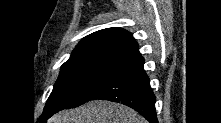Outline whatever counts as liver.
Here are the masks:
<instances>
[{
    "label": "liver",
    "mask_w": 221,
    "mask_h": 123,
    "mask_svg": "<svg viewBox=\"0 0 221 123\" xmlns=\"http://www.w3.org/2000/svg\"><path fill=\"white\" fill-rule=\"evenodd\" d=\"M48 123H147L131 108L96 100L72 110L61 111Z\"/></svg>",
    "instance_id": "obj_1"
}]
</instances>
